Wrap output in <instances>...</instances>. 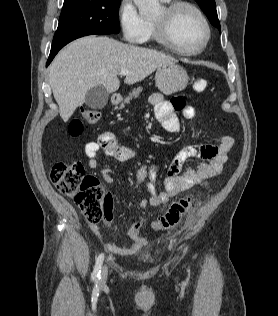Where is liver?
Segmentation results:
<instances>
[{"mask_svg":"<svg viewBox=\"0 0 278 316\" xmlns=\"http://www.w3.org/2000/svg\"><path fill=\"white\" fill-rule=\"evenodd\" d=\"M172 61L173 57L162 52L106 36H86L71 42L55 57L49 72L61 118L66 122L85 102L87 91L97 85L104 86L108 93L116 92L121 70L129 71L124 82L132 85Z\"/></svg>","mask_w":278,"mask_h":316,"instance_id":"1","label":"liver"}]
</instances>
